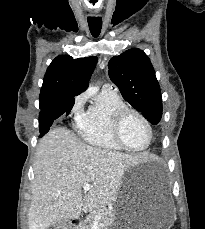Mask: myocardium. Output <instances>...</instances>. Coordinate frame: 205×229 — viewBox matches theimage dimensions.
<instances>
[{
  "label": "myocardium",
  "mask_w": 205,
  "mask_h": 229,
  "mask_svg": "<svg viewBox=\"0 0 205 229\" xmlns=\"http://www.w3.org/2000/svg\"><path fill=\"white\" fill-rule=\"evenodd\" d=\"M129 115H134L137 118H139L144 123V125L146 126L148 130V141L146 145L141 148H133L129 146L122 137V126H123L125 119ZM112 134H113L114 139L117 141L119 145H121L124 149L132 151V152H143L147 150L153 141V129L148 119L143 114H141L139 111L133 108H130L128 106L117 109L115 113L113 114Z\"/></svg>",
  "instance_id": "f54148a6"
}]
</instances>
